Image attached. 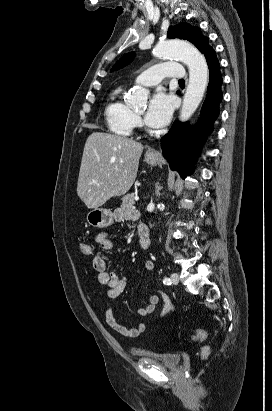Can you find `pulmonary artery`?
Wrapping results in <instances>:
<instances>
[{
  "mask_svg": "<svg viewBox=\"0 0 272 411\" xmlns=\"http://www.w3.org/2000/svg\"><path fill=\"white\" fill-rule=\"evenodd\" d=\"M166 77L184 79L185 72L177 62L159 63L143 71L135 82L144 86H155Z\"/></svg>",
  "mask_w": 272,
  "mask_h": 411,
  "instance_id": "e3ab8cb5",
  "label": "pulmonary artery"
}]
</instances>
